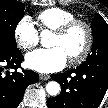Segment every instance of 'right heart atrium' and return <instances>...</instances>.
<instances>
[{
  "mask_svg": "<svg viewBox=\"0 0 108 108\" xmlns=\"http://www.w3.org/2000/svg\"><path fill=\"white\" fill-rule=\"evenodd\" d=\"M14 38L19 49L29 51L38 45L40 35L32 20L25 16L14 28Z\"/></svg>",
  "mask_w": 108,
  "mask_h": 108,
  "instance_id": "right-heart-atrium-1",
  "label": "right heart atrium"
}]
</instances>
